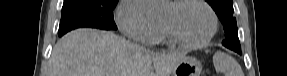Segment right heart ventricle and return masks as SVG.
<instances>
[{
	"label": "right heart ventricle",
	"mask_w": 287,
	"mask_h": 76,
	"mask_svg": "<svg viewBox=\"0 0 287 76\" xmlns=\"http://www.w3.org/2000/svg\"><path fill=\"white\" fill-rule=\"evenodd\" d=\"M155 21L157 23V34H156V37L153 40V42L165 41L167 39V37H166V35L164 33V30H163V27H162V24H161V20L160 19H156Z\"/></svg>",
	"instance_id": "obj_1"
}]
</instances>
